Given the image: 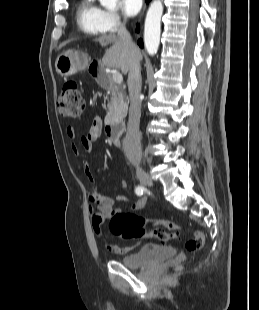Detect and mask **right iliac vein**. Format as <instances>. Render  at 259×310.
I'll list each match as a JSON object with an SVG mask.
<instances>
[{"label": "right iliac vein", "mask_w": 259, "mask_h": 310, "mask_svg": "<svg viewBox=\"0 0 259 310\" xmlns=\"http://www.w3.org/2000/svg\"><path fill=\"white\" fill-rule=\"evenodd\" d=\"M136 174H137V177L142 184H144L145 186H148V187L153 186V181H152L151 177L140 166H136Z\"/></svg>", "instance_id": "obj_1"}]
</instances>
